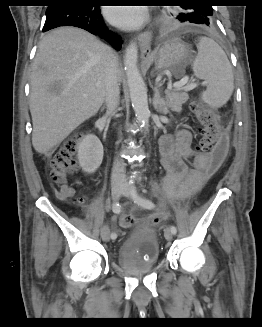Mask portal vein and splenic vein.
Returning a JSON list of instances; mask_svg holds the SVG:
<instances>
[{"label": "portal vein and splenic vein", "mask_w": 262, "mask_h": 327, "mask_svg": "<svg viewBox=\"0 0 262 327\" xmlns=\"http://www.w3.org/2000/svg\"><path fill=\"white\" fill-rule=\"evenodd\" d=\"M189 78L187 76L183 77L180 81L173 84V88L176 90L190 91L198 86L197 83H188Z\"/></svg>", "instance_id": "portal-vein-and-splenic-vein-1"}]
</instances>
